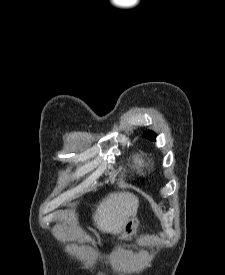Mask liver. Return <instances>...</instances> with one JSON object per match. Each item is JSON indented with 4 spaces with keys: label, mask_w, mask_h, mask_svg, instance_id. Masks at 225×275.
<instances>
[{
    "label": "liver",
    "mask_w": 225,
    "mask_h": 275,
    "mask_svg": "<svg viewBox=\"0 0 225 275\" xmlns=\"http://www.w3.org/2000/svg\"><path fill=\"white\" fill-rule=\"evenodd\" d=\"M138 206V198L132 193H110L97 206L93 219L102 232L117 234L136 214Z\"/></svg>",
    "instance_id": "obj_1"
}]
</instances>
